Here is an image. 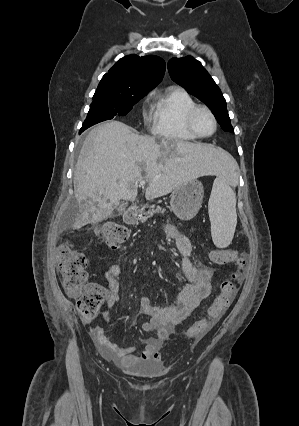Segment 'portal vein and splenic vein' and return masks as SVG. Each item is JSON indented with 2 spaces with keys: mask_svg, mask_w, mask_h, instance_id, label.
<instances>
[{
  "mask_svg": "<svg viewBox=\"0 0 299 426\" xmlns=\"http://www.w3.org/2000/svg\"><path fill=\"white\" fill-rule=\"evenodd\" d=\"M139 184H140V186H144V185L146 184V182H145L144 180H141V181L139 182Z\"/></svg>",
  "mask_w": 299,
  "mask_h": 426,
  "instance_id": "1",
  "label": "portal vein and splenic vein"
}]
</instances>
